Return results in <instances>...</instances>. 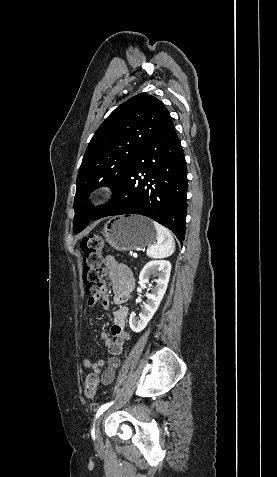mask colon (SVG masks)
<instances>
[{
  "instance_id": "obj_1",
  "label": "colon",
  "mask_w": 277,
  "mask_h": 477,
  "mask_svg": "<svg viewBox=\"0 0 277 477\" xmlns=\"http://www.w3.org/2000/svg\"><path fill=\"white\" fill-rule=\"evenodd\" d=\"M80 248L83 253V282L90 298L99 296L104 276L102 253L105 248L104 240L97 234H89L82 238ZM98 386L96 374L86 378L84 393L88 399H93Z\"/></svg>"
}]
</instances>
